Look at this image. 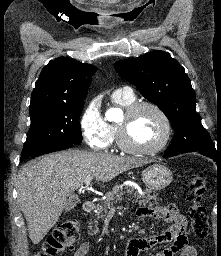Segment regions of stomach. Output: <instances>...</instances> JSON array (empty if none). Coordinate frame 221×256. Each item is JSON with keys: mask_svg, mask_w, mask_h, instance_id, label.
<instances>
[{"mask_svg": "<svg viewBox=\"0 0 221 256\" xmlns=\"http://www.w3.org/2000/svg\"><path fill=\"white\" fill-rule=\"evenodd\" d=\"M173 179L169 168L161 164H153L142 173V181L150 190H161L167 187Z\"/></svg>", "mask_w": 221, "mask_h": 256, "instance_id": "stomach-1", "label": "stomach"}]
</instances>
